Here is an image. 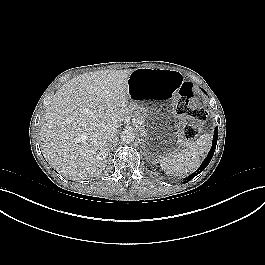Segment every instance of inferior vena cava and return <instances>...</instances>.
<instances>
[{"instance_id":"1","label":"inferior vena cava","mask_w":265,"mask_h":265,"mask_svg":"<svg viewBox=\"0 0 265 265\" xmlns=\"http://www.w3.org/2000/svg\"><path fill=\"white\" fill-rule=\"evenodd\" d=\"M118 133V130L114 126H105L101 130V136L105 140H110L111 138H114Z\"/></svg>"}]
</instances>
